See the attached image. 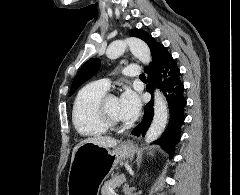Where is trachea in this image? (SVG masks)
<instances>
[{
    "instance_id": "trachea-1",
    "label": "trachea",
    "mask_w": 240,
    "mask_h": 195,
    "mask_svg": "<svg viewBox=\"0 0 240 195\" xmlns=\"http://www.w3.org/2000/svg\"><path fill=\"white\" fill-rule=\"evenodd\" d=\"M139 77H140L141 79H145V78H146L145 75H144V73H141V75H139Z\"/></svg>"
}]
</instances>
